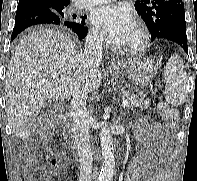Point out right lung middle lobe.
I'll return each mask as SVG.
<instances>
[{
	"instance_id": "right-lung-middle-lobe-1",
	"label": "right lung middle lobe",
	"mask_w": 197,
	"mask_h": 181,
	"mask_svg": "<svg viewBox=\"0 0 197 181\" xmlns=\"http://www.w3.org/2000/svg\"><path fill=\"white\" fill-rule=\"evenodd\" d=\"M48 8H50L59 18L65 21H73L69 16L65 14V7L67 5H53V4H45ZM76 18V16H75ZM82 21L80 23H85L84 19L86 18L85 16L81 17Z\"/></svg>"
}]
</instances>
